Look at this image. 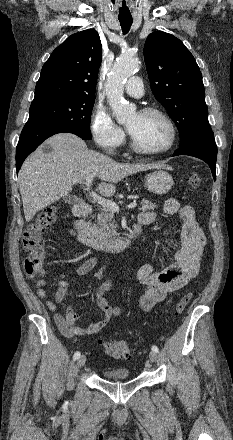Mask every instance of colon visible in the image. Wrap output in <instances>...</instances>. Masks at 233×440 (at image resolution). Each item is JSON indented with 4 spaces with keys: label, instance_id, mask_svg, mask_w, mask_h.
Instances as JSON below:
<instances>
[{
    "label": "colon",
    "instance_id": "obj_1",
    "mask_svg": "<svg viewBox=\"0 0 233 440\" xmlns=\"http://www.w3.org/2000/svg\"><path fill=\"white\" fill-rule=\"evenodd\" d=\"M189 185L198 188L201 184V178L197 174L189 177ZM57 210L54 207L44 208L36 217L24 233L23 247L27 253L24 260L25 274L30 278H35L43 274V261L45 257V248L42 234L56 221ZM192 299V293H185L178 301L175 307V315H180ZM98 345L104 352L115 359H131L134 356V350L124 340H104L99 339Z\"/></svg>",
    "mask_w": 233,
    "mask_h": 440
}]
</instances>
